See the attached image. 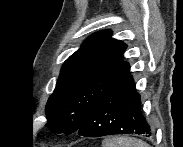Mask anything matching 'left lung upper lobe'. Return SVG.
Masks as SVG:
<instances>
[{"mask_svg": "<svg viewBox=\"0 0 183 147\" xmlns=\"http://www.w3.org/2000/svg\"><path fill=\"white\" fill-rule=\"evenodd\" d=\"M126 47L110 31H100L65 61L46 104L52 132L77 131L103 94L129 73L130 66L123 61Z\"/></svg>", "mask_w": 183, "mask_h": 147, "instance_id": "1", "label": "left lung upper lobe"}]
</instances>
